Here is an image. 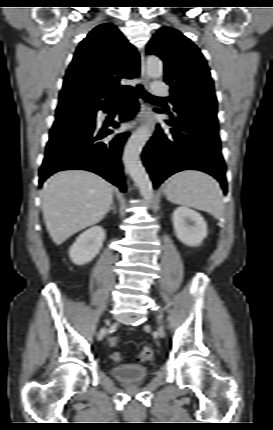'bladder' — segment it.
<instances>
[{"instance_id": "31cf9c89", "label": "bladder", "mask_w": 273, "mask_h": 430, "mask_svg": "<svg viewBox=\"0 0 273 430\" xmlns=\"http://www.w3.org/2000/svg\"><path fill=\"white\" fill-rule=\"evenodd\" d=\"M113 376L123 383H137L145 380L149 371L140 364H121L112 368Z\"/></svg>"}]
</instances>
